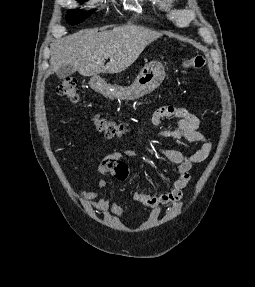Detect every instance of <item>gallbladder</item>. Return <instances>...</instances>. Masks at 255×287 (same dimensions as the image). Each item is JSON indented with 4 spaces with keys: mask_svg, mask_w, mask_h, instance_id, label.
Returning <instances> with one entry per match:
<instances>
[{
    "mask_svg": "<svg viewBox=\"0 0 255 287\" xmlns=\"http://www.w3.org/2000/svg\"><path fill=\"white\" fill-rule=\"evenodd\" d=\"M76 68L74 66H61L59 70L56 72L57 78H60V80H65V78H69L71 74H75Z\"/></svg>",
    "mask_w": 255,
    "mask_h": 287,
    "instance_id": "bac80fb5",
    "label": "gallbladder"
}]
</instances>
